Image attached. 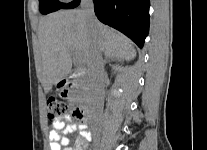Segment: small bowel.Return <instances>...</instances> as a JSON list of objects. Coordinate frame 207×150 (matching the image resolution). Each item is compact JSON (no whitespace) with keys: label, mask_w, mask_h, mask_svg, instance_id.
<instances>
[{"label":"small bowel","mask_w":207,"mask_h":150,"mask_svg":"<svg viewBox=\"0 0 207 150\" xmlns=\"http://www.w3.org/2000/svg\"><path fill=\"white\" fill-rule=\"evenodd\" d=\"M67 121H52V130L49 133L50 150H86L92 140V134L86 124H77L71 118L66 117ZM77 134L75 142L69 145V135Z\"/></svg>","instance_id":"1"}]
</instances>
